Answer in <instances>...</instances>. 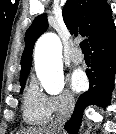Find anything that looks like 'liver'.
Instances as JSON below:
<instances>
[{
    "mask_svg": "<svg viewBox=\"0 0 116 134\" xmlns=\"http://www.w3.org/2000/svg\"><path fill=\"white\" fill-rule=\"evenodd\" d=\"M19 134H57L55 131L51 128H44L39 130H33V131H24Z\"/></svg>",
    "mask_w": 116,
    "mask_h": 134,
    "instance_id": "obj_1",
    "label": "liver"
}]
</instances>
